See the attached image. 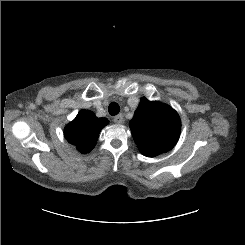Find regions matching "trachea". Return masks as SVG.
Returning <instances> with one entry per match:
<instances>
[{
    "mask_svg": "<svg viewBox=\"0 0 245 245\" xmlns=\"http://www.w3.org/2000/svg\"><path fill=\"white\" fill-rule=\"evenodd\" d=\"M108 111H109V113L111 115L115 116V115H117L119 113L120 107H119V105L117 103L112 102L109 105Z\"/></svg>",
    "mask_w": 245,
    "mask_h": 245,
    "instance_id": "1",
    "label": "trachea"
}]
</instances>
